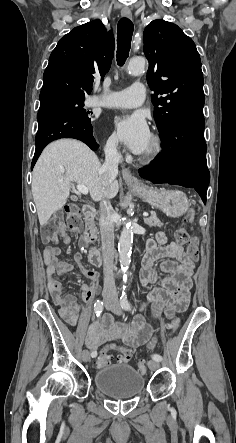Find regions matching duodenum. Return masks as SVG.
<instances>
[{
	"label": "duodenum",
	"mask_w": 236,
	"mask_h": 443,
	"mask_svg": "<svg viewBox=\"0 0 236 443\" xmlns=\"http://www.w3.org/2000/svg\"><path fill=\"white\" fill-rule=\"evenodd\" d=\"M83 214L87 222L84 240L85 242L90 243L95 239L93 220L96 217V209L91 205H86L83 209ZM88 257L92 265L94 266L101 265L100 253L98 249L90 248Z\"/></svg>",
	"instance_id": "410a0bca"
}]
</instances>
